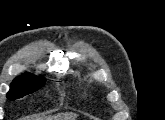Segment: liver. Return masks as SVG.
Masks as SVG:
<instances>
[{"label":"liver","instance_id":"6515ba94","mask_svg":"<svg viewBox=\"0 0 165 120\" xmlns=\"http://www.w3.org/2000/svg\"><path fill=\"white\" fill-rule=\"evenodd\" d=\"M76 117L77 115L74 113H65L63 115H58L54 117L55 119L53 120H75ZM48 120H52V119H48Z\"/></svg>","mask_w":165,"mask_h":120}]
</instances>
